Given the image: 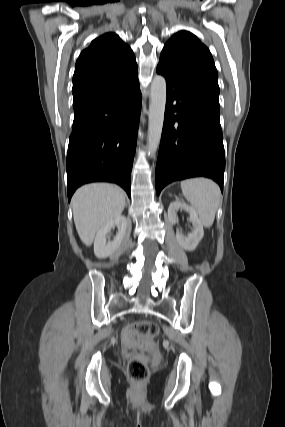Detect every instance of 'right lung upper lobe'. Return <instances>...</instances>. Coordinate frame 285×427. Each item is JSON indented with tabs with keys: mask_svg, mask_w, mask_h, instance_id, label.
Segmentation results:
<instances>
[{
	"mask_svg": "<svg viewBox=\"0 0 285 427\" xmlns=\"http://www.w3.org/2000/svg\"><path fill=\"white\" fill-rule=\"evenodd\" d=\"M138 74L133 51L115 33L94 39L76 62L73 104Z\"/></svg>",
	"mask_w": 285,
	"mask_h": 427,
	"instance_id": "1",
	"label": "right lung upper lobe"
}]
</instances>
